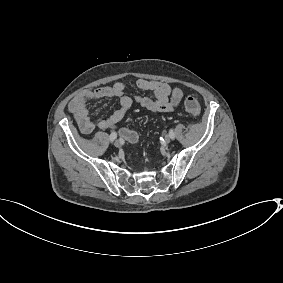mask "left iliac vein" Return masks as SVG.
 Instances as JSON below:
<instances>
[{
	"label": "left iliac vein",
	"mask_w": 283,
	"mask_h": 283,
	"mask_svg": "<svg viewBox=\"0 0 283 283\" xmlns=\"http://www.w3.org/2000/svg\"><path fill=\"white\" fill-rule=\"evenodd\" d=\"M170 141H171V138H170V135H165L164 136V142L166 143V144H168V143H170Z\"/></svg>",
	"instance_id": "obj_1"
}]
</instances>
